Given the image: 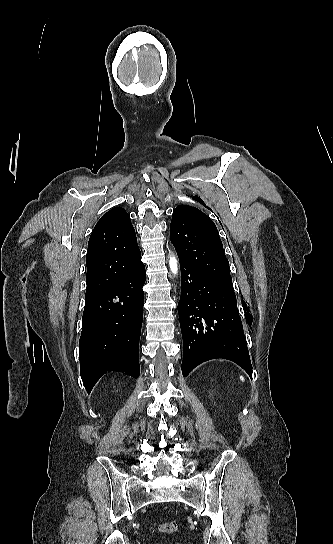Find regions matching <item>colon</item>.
Returning <instances> with one entry per match:
<instances>
[{"label": "colon", "instance_id": "5ec220e1", "mask_svg": "<svg viewBox=\"0 0 333 544\" xmlns=\"http://www.w3.org/2000/svg\"><path fill=\"white\" fill-rule=\"evenodd\" d=\"M175 522H164L155 527V530L161 533H173L176 530Z\"/></svg>", "mask_w": 333, "mask_h": 544}]
</instances>
